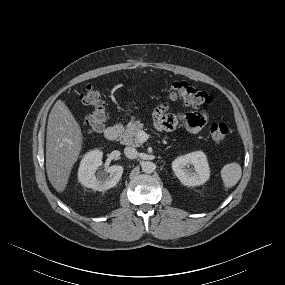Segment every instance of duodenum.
<instances>
[{"label": "duodenum", "instance_id": "duodenum-1", "mask_svg": "<svg viewBox=\"0 0 285 285\" xmlns=\"http://www.w3.org/2000/svg\"><path fill=\"white\" fill-rule=\"evenodd\" d=\"M120 135V127L118 125L110 126L106 128L104 136L107 140L114 141Z\"/></svg>", "mask_w": 285, "mask_h": 285}]
</instances>
